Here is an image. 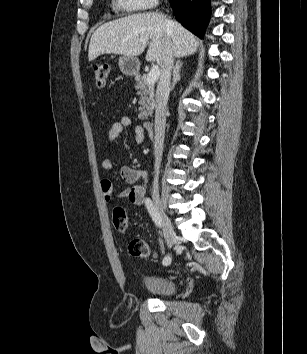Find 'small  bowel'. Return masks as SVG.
Returning <instances> with one entry per match:
<instances>
[{"label": "small bowel", "mask_w": 307, "mask_h": 354, "mask_svg": "<svg viewBox=\"0 0 307 354\" xmlns=\"http://www.w3.org/2000/svg\"><path fill=\"white\" fill-rule=\"evenodd\" d=\"M132 126V120L124 116L119 121L115 122L108 131L107 140L113 143L123 132V130ZM134 139L137 143H142L145 140L144 129L136 125L133 129ZM101 167L105 171H109L113 167L111 159H104L101 162ZM119 175L122 180L128 184V187L121 192L119 197L128 199L132 204L142 207L145 204V193L147 189L148 174L146 171L131 168L129 166H121ZM101 190L104 198L111 201L114 198L113 184L109 179L101 180Z\"/></svg>", "instance_id": "c3829d8e"}]
</instances>
